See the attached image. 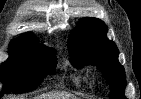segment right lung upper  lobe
I'll list each match as a JSON object with an SVG mask.
<instances>
[{
    "label": "right lung upper lobe",
    "instance_id": "right-lung-upper-lobe-1",
    "mask_svg": "<svg viewBox=\"0 0 141 99\" xmlns=\"http://www.w3.org/2000/svg\"><path fill=\"white\" fill-rule=\"evenodd\" d=\"M36 38L34 37L33 34L31 33H26L24 36L13 39L11 42H18V43H27V44H32V45H40L36 43Z\"/></svg>",
    "mask_w": 141,
    "mask_h": 99
}]
</instances>
